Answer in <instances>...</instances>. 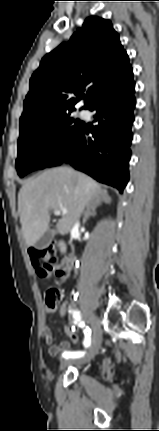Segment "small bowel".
I'll use <instances>...</instances> for the list:
<instances>
[{
	"instance_id": "small-bowel-1",
	"label": "small bowel",
	"mask_w": 159,
	"mask_h": 431,
	"mask_svg": "<svg viewBox=\"0 0 159 431\" xmlns=\"http://www.w3.org/2000/svg\"><path fill=\"white\" fill-rule=\"evenodd\" d=\"M72 268H73V265L70 260L65 259L62 262L60 267L56 270V275L61 282H64L68 279ZM66 308H67V303L64 302L59 309V314L61 317H64L66 313ZM42 333H43L44 341L48 345V353L50 354V356L55 357L65 352H71L69 351L70 343L66 340H61L55 345L53 344V335H52L51 329L48 326L43 327Z\"/></svg>"
}]
</instances>
